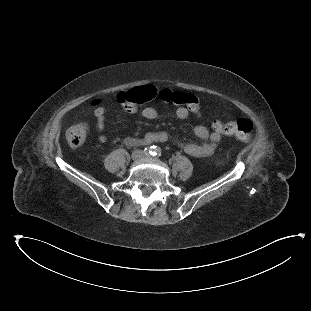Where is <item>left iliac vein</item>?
<instances>
[{
  "label": "left iliac vein",
  "instance_id": "left-iliac-vein-1",
  "mask_svg": "<svg viewBox=\"0 0 311 311\" xmlns=\"http://www.w3.org/2000/svg\"><path fill=\"white\" fill-rule=\"evenodd\" d=\"M144 158H145V159H149V158H151V157L148 156V155H145Z\"/></svg>",
  "mask_w": 311,
  "mask_h": 311
}]
</instances>
